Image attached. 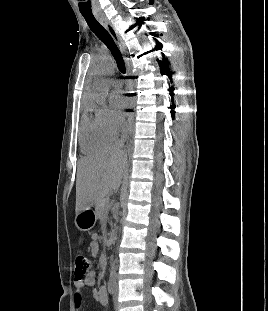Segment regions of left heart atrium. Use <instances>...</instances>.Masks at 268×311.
<instances>
[{
    "instance_id": "left-heart-atrium-1",
    "label": "left heart atrium",
    "mask_w": 268,
    "mask_h": 311,
    "mask_svg": "<svg viewBox=\"0 0 268 311\" xmlns=\"http://www.w3.org/2000/svg\"><path fill=\"white\" fill-rule=\"evenodd\" d=\"M112 100L117 108H127L131 104L129 100L123 99L121 96H113Z\"/></svg>"
}]
</instances>
